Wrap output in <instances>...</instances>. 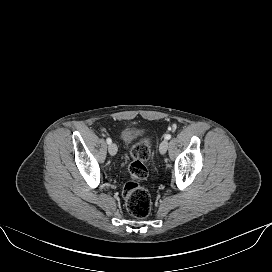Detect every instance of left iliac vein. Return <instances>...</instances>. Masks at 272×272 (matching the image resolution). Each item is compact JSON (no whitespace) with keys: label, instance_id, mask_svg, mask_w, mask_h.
<instances>
[{"label":"left iliac vein","instance_id":"4c4485c4","mask_svg":"<svg viewBox=\"0 0 272 272\" xmlns=\"http://www.w3.org/2000/svg\"><path fill=\"white\" fill-rule=\"evenodd\" d=\"M168 149V141L167 140H163L161 143H160V146H159V151L161 154H165L166 151Z\"/></svg>","mask_w":272,"mask_h":272}]
</instances>
